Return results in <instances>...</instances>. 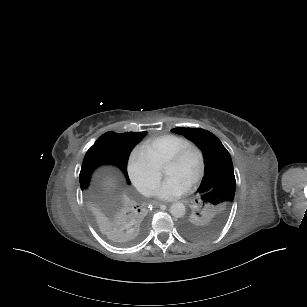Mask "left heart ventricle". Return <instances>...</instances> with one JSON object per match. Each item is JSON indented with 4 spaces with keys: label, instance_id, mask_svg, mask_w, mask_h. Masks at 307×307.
<instances>
[{
    "label": "left heart ventricle",
    "instance_id": "b2bd125f",
    "mask_svg": "<svg viewBox=\"0 0 307 307\" xmlns=\"http://www.w3.org/2000/svg\"><path fill=\"white\" fill-rule=\"evenodd\" d=\"M201 154L198 149L191 150L180 162L165 161L162 172L166 176L177 175L189 182L200 170Z\"/></svg>",
    "mask_w": 307,
    "mask_h": 307
}]
</instances>
